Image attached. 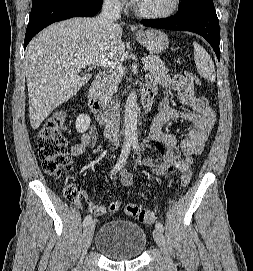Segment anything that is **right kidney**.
I'll return each mask as SVG.
<instances>
[{"label":"right kidney","instance_id":"right-kidney-1","mask_svg":"<svg viewBox=\"0 0 253 271\" xmlns=\"http://www.w3.org/2000/svg\"><path fill=\"white\" fill-rule=\"evenodd\" d=\"M90 122H91L90 116H88L87 114H80L77 117L75 123L77 132L79 133L86 132L90 126Z\"/></svg>","mask_w":253,"mask_h":271}]
</instances>
